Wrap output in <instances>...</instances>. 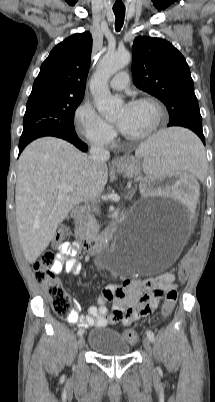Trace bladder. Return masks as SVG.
Here are the masks:
<instances>
[{
	"label": "bladder",
	"instance_id": "bladder-1",
	"mask_svg": "<svg viewBox=\"0 0 215 402\" xmlns=\"http://www.w3.org/2000/svg\"><path fill=\"white\" fill-rule=\"evenodd\" d=\"M88 346L91 351L103 357H123L131 350L129 342L118 331L104 327L90 332Z\"/></svg>",
	"mask_w": 215,
	"mask_h": 402
}]
</instances>
